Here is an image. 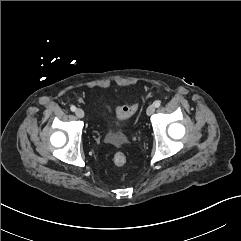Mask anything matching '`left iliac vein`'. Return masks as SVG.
Masks as SVG:
<instances>
[{
    "mask_svg": "<svg viewBox=\"0 0 241 241\" xmlns=\"http://www.w3.org/2000/svg\"><path fill=\"white\" fill-rule=\"evenodd\" d=\"M155 112V106L152 104V105H149L147 110H146V113L147 115H152L153 113Z\"/></svg>",
    "mask_w": 241,
    "mask_h": 241,
    "instance_id": "obj_1",
    "label": "left iliac vein"
}]
</instances>
